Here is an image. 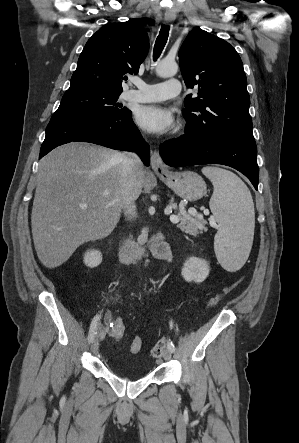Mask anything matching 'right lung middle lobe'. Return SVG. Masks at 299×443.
<instances>
[{
  "label": "right lung middle lobe",
  "mask_w": 299,
  "mask_h": 443,
  "mask_svg": "<svg viewBox=\"0 0 299 443\" xmlns=\"http://www.w3.org/2000/svg\"><path fill=\"white\" fill-rule=\"evenodd\" d=\"M120 94L121 92L94 87L69 88L56 112L92 116H121L127 114L129 110L122 108V105L117 103Z\"/></svg>",
  "instance_id": "1"
}]
</instances>
